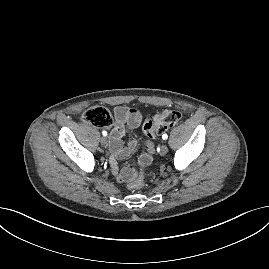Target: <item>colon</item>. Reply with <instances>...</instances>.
<instances>
[{"label": "colon", "instance_id": "colon-1", "mask_svg": "<svg viewBox=\"0 0 269 269\" xmlns=\"http://www.w3.org/2000/svg\"><path fill=\"white\" fill-rule=\"evenodd\" d=\"M181 119V113L172 109H165L147 119L143 125V132L148 138H154L162 132L174 127ZM82 120L96 127H109L112 124V116L109 110L103 106H92L84 111ZM145 184L143 174H135L129 181L132 189L141 188Z\"/></svg>", "mask_w": 269, "mask_h": 269}]
</instances>
